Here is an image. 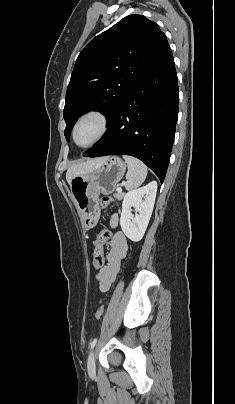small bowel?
<instances>
[{
    "label": "small bowel",
    "mask_w": 235,
    "mask_h": 404,
    "mask_svg": "<svg viewBox=\"0 0 235 404\" xmlns=\"http://www.w3.org/2000/svg\"><path fill=\"white\" fill-rule=\"evenodd\" d=\"M111 249L107 255V264L96 274L99 290L108 292L114 282L120 269L122 260L125 258L128 250V244L125 235L117 232L113 235L110 243Z\"/></svg>",
    "instance_id": "small-bowel-1"
}]
</instances>
